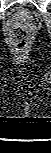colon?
Returning a JSON list of instances; mask_svg holds the SVG:
<instances>
[{
  "label": "colon",
  "mask_w": 51,
  "mask_h": 153,
  "mask_svg": "<svg viewBox=\"0 0 51 153\" xmlns=\"http://www.w3.org/2000/svg\"><path fill=\"white\" fill-rule=\"evenodd\" d=\"M10 39L16 47H25L30 43L29 33L20 25H15L10 31Z\"/></svg>",
  "instance_id": "5ec220e1"
}]
</instances>
